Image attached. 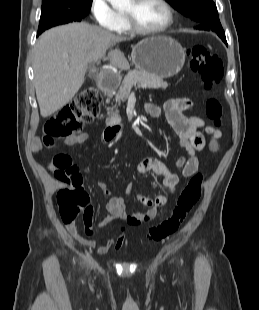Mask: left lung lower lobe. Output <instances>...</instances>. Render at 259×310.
Wrapping results in <instances>:
<instances>
[{
  "mask_svg": "<svg viewBox=\"0 0 259 310\" xmlns=\"http://www.w3.org/2000/svg\"><path fill=\"white\" fill-rule=\"evenodd\" d=\"M218 36L224 41L225 44H227L225 35H218Z\"/></svg>",
  "mask_w": 259,
  "mask_h": 310,
  "instance_id": "0a47b994",
  "label": "left lung lower lobe"
}]
</instances>
